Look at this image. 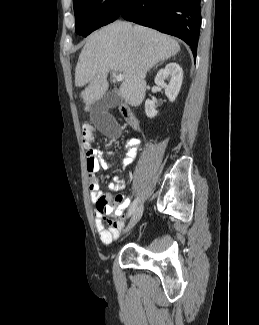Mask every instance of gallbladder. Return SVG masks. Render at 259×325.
Here are the masks:
<instances>
[{"label": "gallbladder", "mask_w": 259, "mask_h": 325, "mask_svg": "<svg viewBox=\"0 0 259 325\" xmlns=\"http://www.w3.org/2000/svg\"><path fill=\"white\" fill-rule=\"evenodd\" d=\"M122 102V98L117 91L107 92L99 100L93 103L91 109L92 123L102 131V136L108 139H121L120 122L115 121L108 110L118 106Z\"/></svg>", "instance_id": "bac80fb5"}]
</instances>
